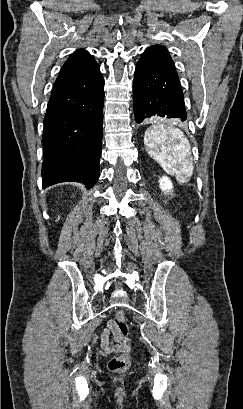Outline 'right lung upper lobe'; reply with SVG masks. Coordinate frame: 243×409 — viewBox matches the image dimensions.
Here are the masks:
<instances>
[{
    "label": "right lung upper lobe",
    "mask_w": 243,
    "mask_h": 409,
    "mask_svg": "<svg viewBox=\"0 0 243 409\" xmlns=\"http://www.w3.org/2000/svg\"><path fill=\"white\" fill-rule=\"evenodd\" d=\"M98 66L92 55L85 50H77L70 55L63 65L60 74L86 73Z\"/></svg>",
    "instance_id": "obj_1"
}]
</instances>
